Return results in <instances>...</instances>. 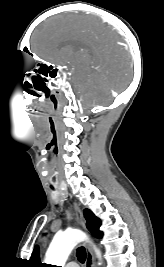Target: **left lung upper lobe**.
<instances>
[{"instance_id": "obj_1", "label": "left lung upper lobe", "mask_w": 164, "mask_h": 267, "mask_svg": "<svg viewBox=\"0 0 164 267\" xmlns=\"http://www.w3.org/2000/svg\"><path fill=\"white\" fill-rule=\"evenodd\" d=\"M84 217L87 221V228L89 229V231H91V233L95 237L101 238L102 232L99 231L101 221L97 217H95V215L89 209L84 210Z\"/></svg>"}]
</instances>
